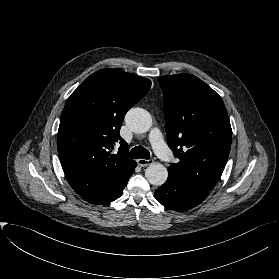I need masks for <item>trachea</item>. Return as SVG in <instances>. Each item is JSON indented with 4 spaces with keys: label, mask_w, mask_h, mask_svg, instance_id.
<instances>
[{
    "label": "trachea",
    "mask_w": 279,
    "mask_h": 279,
    "mask_svg": "<svg viewBox=\"0 0 279 279\" xmlns=\"http://www.w3.org/2000/svg\"><path fill=\"white\" fill-rule=\"evenodd\" d=\"M129 157L132 159L141 158L148 160L150 158V152L142 146H136L130 151Z\"/></svg>",
    "instance_id": "trachea-1"
}]
</instances>
